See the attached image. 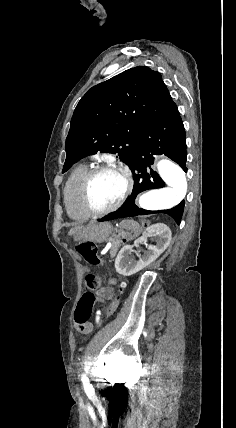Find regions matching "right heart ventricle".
<instances>
[{"mask_svg":"<svg viewBox=\"0 0 236 428\" xmlns=\"http://www.w3.org/2000/svg\"><path fill=\"white\" fill-rule=\"evenodd\" d=\"M88 171L87 164L76 166L67 177L63 188L67 211L72 218L79 221L88 220L93 216L83 207L80 199V186Z\"/></svg>","mask_w":236,"mask_h":428,"instance_id":"obj_1","label":"right heart ventricle"}]
</instances>
